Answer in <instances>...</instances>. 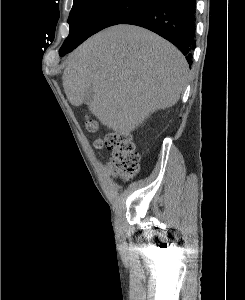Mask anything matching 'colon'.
Masks as SVG:
<instances>
[{
    "mask_svg": "<svg viewBox=\"0 0 245 300\" xmlns=\"http://www.w3.org/2000/svg\"><path fill=\"white\" fill-rule=\"evenodd\" d=\"M87 128L90 131H95L97 125L90 120L87 122ZM95 146L97 148L106 146L112 151L110 166L115 175L124 180H129L137 174L140 157L135 151L129 135L109 133L104 139L96 140Z\"/></svg>",
    "mask_w": 245,
    "mask_h": 300,
    "instance_id": "1",
    "label": "colon"
}]
</instances>
